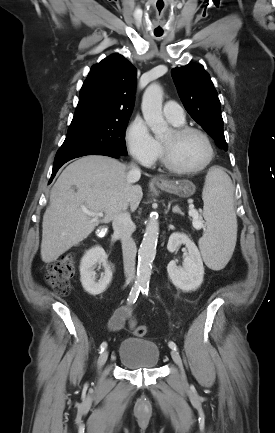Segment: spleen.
<instances>
[{
  "label": "spleen",
  "mask_w": 275,
  "mask_h": 433,
  "mask_svg": "<svg viewBox=\"0 0 275 433\" xmlns=\"http://www.w3.org/2000/svg\"><path fill=\"white\" fill-rule=\"evenodd\" d=\"M234 187L220 167H212L206 175L202 192L207 230L199 240L206 265L220 270L230 260L237 239V219L233 207Z\"/></svg>",
  "instance_id": "1"
}]
</instances>
